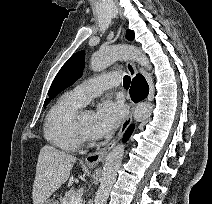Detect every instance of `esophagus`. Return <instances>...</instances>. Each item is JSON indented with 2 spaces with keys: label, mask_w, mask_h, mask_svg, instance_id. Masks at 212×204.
Segmentation results:
<instances>
[{
  "label": "esophagus",
  "mask_w": 212,
  "mask_h": 204,
  "mask_svg": "<svg viewBox=\"0 0 212 204\" xmlns=\"http://www.w3.org/2000/svg\"><path fill=\"white\" fill-rule=\"evenodd\" d=\"M126 69H127L128 73H129V75L131 76V78H134L136 76L137 69H136L135 64H134L133 61H131V60L126 61ZM129 104H130L129 113L126 116V118L124 119V121L122 122V125H121V127L119 129V132L113 138V140L110 143H108L104 148H102L101 150H99L97 152L89 154L85 158V163L88 166L95 167L98 164H100L104 160V158L108 154V152L117 144V142L120 140L122 135L125 133V131L129 127V125L131 124L132 117H133V111L135 109L136 103L133 102L130 99Z\"/></svg>",
  "instance_id": "esophagus-1"
}]
</instances>
